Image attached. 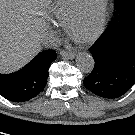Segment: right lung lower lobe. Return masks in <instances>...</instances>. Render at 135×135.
Listing matches in <instances>:
<instances>
[{"instance_id": "1", "label": "right lung lower lobe", "mask_w": 135, "mask_h": 135, "mask_svg": "<svg viewBox=\"0 0 135 135\" xmlns=\"http://www.w3.org/2000/svg\"><path fill=\"white\" fill-rule=\"evenodd\" d=\"M55 59V51L46 50L21 70L0 74V95L12 102H25L36 97L44 90L50 63Z\"/></svg>"}]
</instances>
